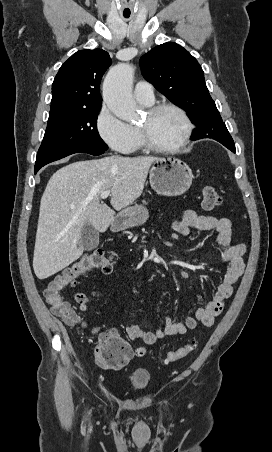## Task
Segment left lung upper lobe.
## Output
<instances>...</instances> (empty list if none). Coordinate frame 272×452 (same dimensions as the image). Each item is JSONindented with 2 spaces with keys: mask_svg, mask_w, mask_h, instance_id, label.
I'll use <instances>...</instances> for the list:
<instances>
[{
  "mask_svg": "<svg viewBox=\"0 0 272 452\" xmlns=\"http://www.w3.org/2000/svg\"><path fill=\"white\" fill-rule=\"evenodd\" d=\"M140 65L146 80L187 111L197 126L192 137H231L208 92L200 64L182 46L174 42L158 45L140 58ZM233 142L231 147L235 149Z\"/></svg>",
  "mask_w": 272,
  "mask_h": 452,
  "instance_id": "1",
  "label": "left lung upper lobe"
}]
</instances>
